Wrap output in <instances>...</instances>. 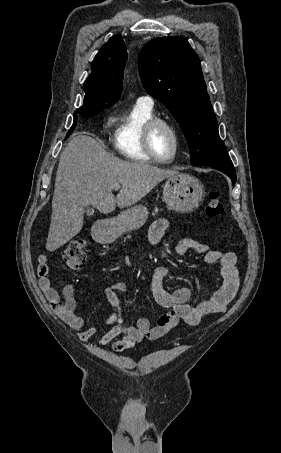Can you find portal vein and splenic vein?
Returning a JSON list of instances; mask_svg holds the SVG:
<instances>
[{
  "label": "portal vein and splenic vein",
  "instance_id": "18ae733b",
  "mask_svg": "<svg viewBox=\"0 0 281 453\" xmlns=\"http://www.w3.org/2000/svg\"><path fill=\"white\" fill-rule=\"evenodd\" d=\"M114 190H119V188H121L120 184H115V186H113Z\"/></svg>",
  "mask_w": 281,
  "mask_h": 453
}]
</instances>
